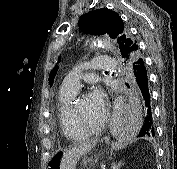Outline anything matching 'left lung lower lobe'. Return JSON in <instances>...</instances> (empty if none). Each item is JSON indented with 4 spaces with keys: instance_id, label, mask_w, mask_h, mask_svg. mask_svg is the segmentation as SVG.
Segmentation results:
<instances>
[{
    "instance_id": "obj_1",
    "label": "left lung lower lobe",
    "mask_w": 177,
    "mask_h": 169,
    "mask_svg": "<svg viewBox=\"0 0 177 169\" xmlns=\"http://www.w3.org/2000/svg\"><path fill=\"white\" fill-rule=\"evenodd\" d=\"M138 49V45H132L131 54H134ZM128 68L132 71L134 79L136 82V90L138 98L144 109V122L142 128L138 134V137H154L155 128L152 116V107L150 100L149 84H148V74L146 69V64L144 60L140 57L134 60L131 64H128Z\"/></svg>"
}]
</instances>
